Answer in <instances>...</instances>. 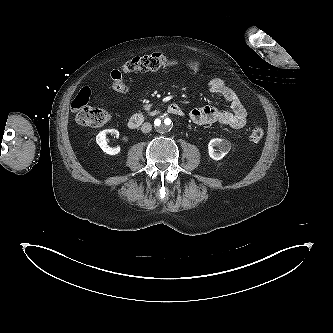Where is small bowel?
<instances>
[{
	"label": "small bowel",
	"instance_id": "1",
	"mask_svg": "<svg viewBox=\"0 0 333 333\" xmlns=\"http://www.w3.org/2000/svg\"><path fill=\"white\" fill-rule=\"evenodd\" d=\"M211 93L222 96L230 105V110H220L208 105L194 108L189 111V118L198 125L218 123L233 129H241L247 121V111L241 100L225 80L219 77L211 79L208 83Z\"/></svg>",
	"mask_w": 333,
	"mask_h": 333
}]
</instances>
